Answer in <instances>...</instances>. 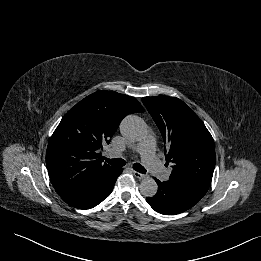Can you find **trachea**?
Listing matches in <instances>:
<instances>
[{
    "instance_id": "trachea-1",
    "label": "trachea",
    "mask_w": 261,
    "mask_h": 261,
    "mask_svg": "<svg viewBox=\"0 0 261 261\" xmlns=\"http://www.w3.org/2000/svg\"><path fill=\"white\" fill-rule=\"evenodd\" d=\"M105 161L107 163H109L110 165L117 166V167H122V166H125V164H126L125 160L121 159V158H115V159L105 158ZM133 169L135 171H137L139 173H143V174H145L147 172L146 169L139 163H134Z\"/></svg>"
}]
</instances>
